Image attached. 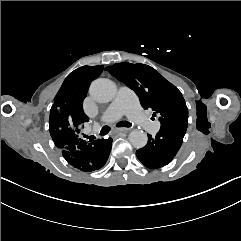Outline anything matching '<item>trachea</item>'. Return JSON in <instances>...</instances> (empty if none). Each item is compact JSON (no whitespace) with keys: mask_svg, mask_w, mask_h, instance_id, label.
<instances>
[{"mask_svg":"<svg viewBox=\"0 0 241 241\" xmlns=\"http://www.w3.org/2000/svg\"><path fill=\"white\" fill-rule=\"evenodd\" d=\"M117 127H130L131 124L127 121H121L116 123ZM111 130V127L108 125L103 126V128L100 131L101 135H106L108 132ZM86 138H89L90 140H93L95 137L94 136H85Z\"/></svg>","mask_w":241,"mask_h":241,"instance_id":"3493384b","label":"trachea"}]
</instances>
